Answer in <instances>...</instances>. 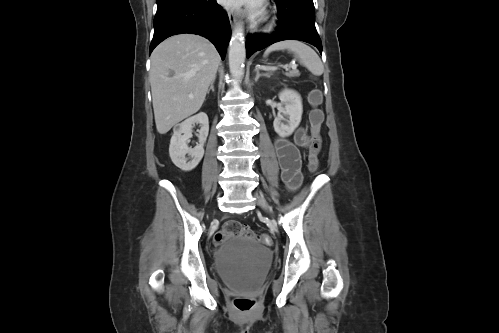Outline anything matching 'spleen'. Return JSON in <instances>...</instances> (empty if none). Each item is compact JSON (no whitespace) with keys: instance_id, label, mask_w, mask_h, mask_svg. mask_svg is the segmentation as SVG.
Masks as SVG:
<instances>
[{"instance_id":"1","label":"spleen","mask_w":499,"mask_h":333,"mask_svg":"<svg viewBox=\"0 0 499 333\" xmlns=\"http://www.w3.org/2000/svg\"><path fill=\"white\" fill-rule=\"evenodd\" d=\"M278 50H288L292 52L299 62L305 66L314 75H322L324 72V66L321 59L317 53L307 46L306 44L296 41V40H285L277 42L269 46L265 52L264 56L269 55V53Z\"/></svg>"}]
</instances>
